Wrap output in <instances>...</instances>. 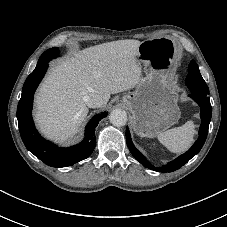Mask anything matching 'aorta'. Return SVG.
Masks as SVG:
<instances>
[{"mask_svg": "<svg viewBox=\"0 0 227 227\" xmlns=\"http://www.w3.org/2000/svg\"><path fill=\"white\" fill-rule=\"evenodd\" d=\"M109 119L114 126H124L127 122V114L122 109H114L110 113Z\"/></svg>", "mask_w": 227, "mask_h": 227, "instance_id": "obj_1", "label": "aorta"}]
</instances>
